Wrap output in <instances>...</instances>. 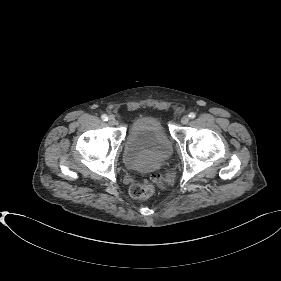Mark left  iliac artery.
<instances>
[{
  "instance_id": "obj_1",
  "label": "left iliac artery",
  "mask_w": 281,
  "mask_h": 281,
  "mask_svg": "<svg viewBox=\"0 0 281 281\" xmlns=\"http://www.w3.org/2000/svg\"><path fill=\"white\" fill-rule=\"evenodd\" d=\"M191 119H194L196 117V114L191 112L189 115H188Z\"/></svg>"
}]
</instances>
